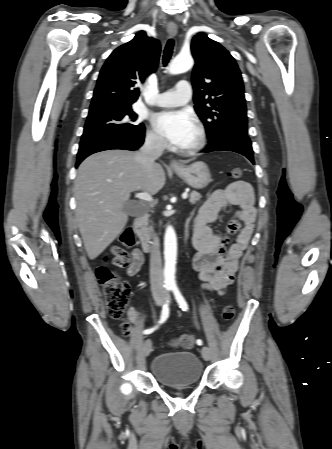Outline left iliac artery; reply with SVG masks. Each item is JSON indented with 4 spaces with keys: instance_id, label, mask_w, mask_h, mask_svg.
<instances>
[{
    "instance_id": "obj_1",
    "label": "left iliac artery",
    "mask_w": 332,
    "mask_h": 449,
    "mask_svg": "<svg viewBox=\"0 0 332 449\" xmlns=\"http://www.w3.org/2000/svg\"><path fill=\"white\" fill-rule=\"evenodd\" d=\"M171 290H172V292L174 294V297H175L179 307L183 311H187L188 310V304H187L185 298L183 297V295L181 294L179 288L176 285H174V286L171 287ZM196 343H197V345H202L203 344L202 340H200V339H198L196 341Z\"/></svg>"
}]
</instances>
